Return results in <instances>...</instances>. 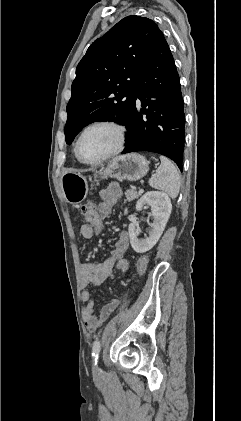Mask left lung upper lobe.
Returning a JSON list of instances; mask_svg holds the SVG:
<instances>
[{"instance_id": "1", "label": "left lung upper lobe", "mask_w": 241, "mask_h": 421, "mask_svg": "<svg viewBox=\"0 0 241 421\" xmlns=\"http://www.w3.org/2000/svg\"><path fill=\"white\" fill-rule=\"evenodd\" d=\"M160 32L151 19L127 16L90 45L72 83L64 130L67 144L95 121L129 128L138 77Z\"/></svg>"}]
</instances>
